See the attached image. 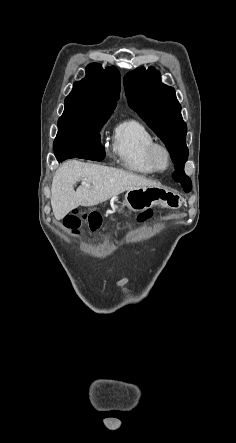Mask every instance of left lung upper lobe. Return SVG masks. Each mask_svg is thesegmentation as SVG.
Returning <instances> with one entry per match:
<instances>
[{"label": "left lung upper lobe", "mask_w": 236, "mask_h": 443, "mask_svg": "<svg viewBox=\"0 0 236 443\" xmlns=\"http://www.w3.org/2000/svg\"><path fill=\"white\" fill-rule=\"evenodd\" d=\"M124 87L130 107L165 143L175 169H184L188 158L187 126L174 88L164 85L160 73L152 67H140L126 74Z\"/></svg>", "instance_id": "left-lung-upper-lobe-1"}]
</instances>
